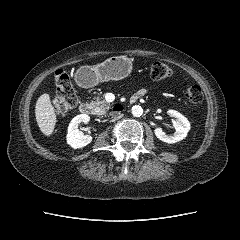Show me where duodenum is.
Instances as JSON below:
<instances>
[{"label":"duodenum","mask_w":240,"mask_h":240,"mask_svg":"<svg viewBox=\"0 0 240 240\" xmlns=\"http://www.w3.org/2000/svg\"><path fill=\"white\" fill-rule=\"evenodd\" d=\"M139 98H140V96L138 94H135L134 96H132L130 102L135 103ZM119 108H123L122 105H119ZM79 109H80L81 113L86 114V115H89L92 113V107L87 102H82L80 104Z\"/></svg>","instance_id":"1"}]
</instances>
